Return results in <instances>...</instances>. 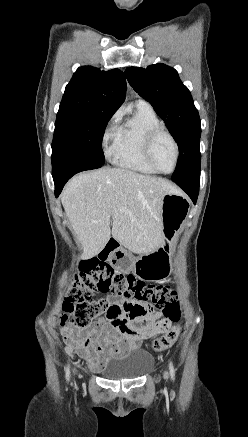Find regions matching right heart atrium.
Here are the masks:
<instances>
[{"label":"right heart atrium","mask_w":248,"mask_h":437,"mask_svg":"<svg viewBox=\"0 0 248 437\" xmlns=\"http://www.w3.org/2000/svg\"><path fill=\"white\" fill-rule=\"evenodd\" d=\"M120 114L115 113L107 122L103 133H102V145L106 149L110 142L115 141L118 130V122H119Z\"/></svg>","instance_id":"right-heart-atrium-1"}]
</instances>
